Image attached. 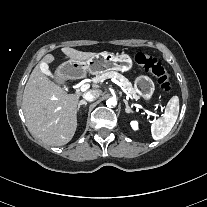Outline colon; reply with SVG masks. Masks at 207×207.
<instances>
[{
  "mask_svg": "<svg viewBox=\"0 0 207 207\" xmlns=\"http://www.w3.org/2000/svg\"><path fill=\"white\" fill-rule=\"evenodd\" d=\"M142 61L145 65V68L147 70H150L152 74L157 78V82L160 88L165 92L169 91L170 83L165 67L156 59H152V58L147 59L144 57ZM74 67L78 68L79 65L74 64Z\"/></svg>",
  "mask_w": 207,
  "mask_h": 207,
  "instance_id": "colon-1",
  "label": "colon"
}]
</instances>
